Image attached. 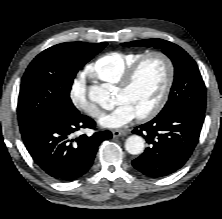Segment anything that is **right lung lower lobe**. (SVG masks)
I'll return each mask as SVG.
<instances>
[{
	"label": "right lung lower lobe",
	"instance_id": "98d812e1",
	"mask_svg": "<svg viewBox=\"0 0 222 219\" xmlns=\"http://www.w3.org/2000/svg\"><path fill=\"white\" fill-rule=\"evenodd\" d=\"M81 128L95 129L94 120L77 109H62L21 134L35 163L50 177L66 182L84 175L100 143L112 138L110 131L73 138L74 132Z\"/></svg>",
	"mask_w": 222,
	"mask_h": 219
}]
</instances>
